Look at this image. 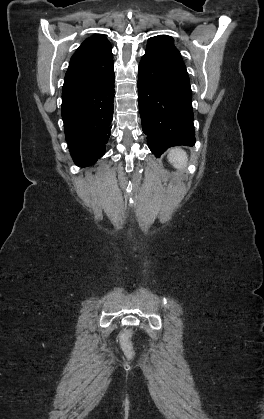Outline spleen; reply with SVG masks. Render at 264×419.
Masks as SVG:
<instances>
[{
  "mask_svg": "<svg viewBox=\"0 0 264 419\" xmlns=\"http://www.w3.org/2000/svg\"><path fill=\"white\" fill-rule=\"evenodd\" d=\"M168 161L178 170H184L188 163L187 153L180 148H173L167 156Z\"/></svg>",
  "mask_w": 264,
  "mask_h": 419,
  "instance_id": "1",
  "label": "spleen"
}]
</instances>
